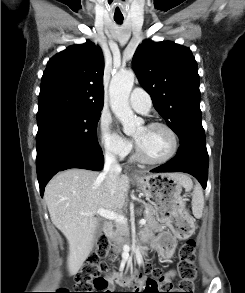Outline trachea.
Listing matches in <instances>:
<instances>
[{
    "label": "trachea",
    "instance_id": "3493384b",
    "mask_svg": "<svg viewBox=\"0 0 245 293\" xmlns=\"http://www.w3.org/2000/svg\"><path fill=\"white\" fill-rule=\"evenodd\" d=\"M117 23H119V24H121L122 23V21H123V18H121V19H114Z\"/></svg>",
    "mask_w": 245,
    "mask_h": 293
}]
</instances>
